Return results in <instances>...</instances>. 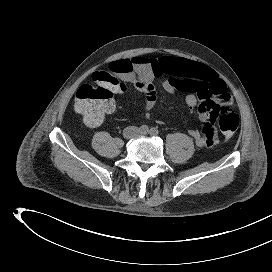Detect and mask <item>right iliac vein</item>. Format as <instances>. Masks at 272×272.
Segmentation results:
<instances>
[{"instance_id":"right-iliac-vein-1","label":"right iliac vein","mask_w":272,"mask_h":272,"mask_svg":"<svg viewBox=\"0 0 272 272\" xmlns=\"http://www.w3.org/2000/svg\"><path fill=\"white\" fill-rule=\"evenodd\" d=\"M130 134H134V131H130Z\"/></svg>"}]
</instances>
